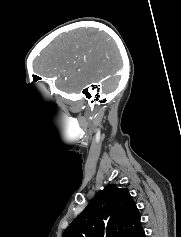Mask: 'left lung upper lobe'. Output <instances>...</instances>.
<instances>
[{"instance_id": "1", "label": "left lung upper lobe", "mask_w": 181, "mask_h": 237, "mask_svg": "<svg viewBox=\"0 0 181 237\" xmlns=\"http://www.w3.org/2000/svg\"><path fill=\"white\" fill-rule=\"evenodd\" d=\"M142 231L140 214L129 190L109 184L97 193L62 237H136Z\"/></svg>"}]
</instances>
